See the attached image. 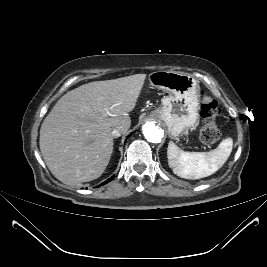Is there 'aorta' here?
<instances>
[{
	"mask_svg": "<svg viewBox=\"0 0 267 267\" xmlns=\"http://www.w3.org/2000/svg\"><path fill=\"white\" fill-rule=\"evenodd\" d=\"M142 131L144 137L151 143H158L163 137V130L153 121H147L143 125Z\"/></svg>",
	"mask_w": 267,
	"mask_h": 267,
	"instance_id": "762f6f07",
	"label": "aorta"
}]
</instances>
